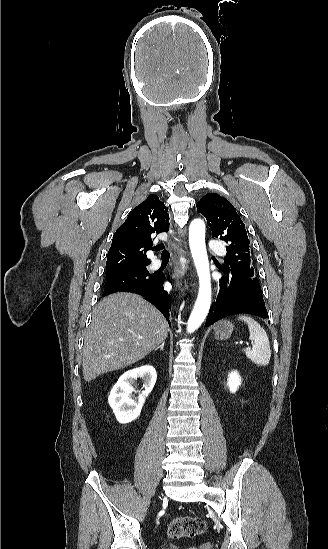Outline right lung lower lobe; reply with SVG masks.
Instances as JSON below:
<instances>
[{
    "label": "right lung lower lobe",
    "instance_id": "obj_1",
    "mask_svg": "<svg viewBox=\"0 0 328 549\" xmlns=\"http://www.w3.org/2000/svg\"><path fill=\"white\" fill-rule=\"evenodd\" d=\"M165 278L166 275L164 273H156V276L148 284L131 285L114 291L104 292V296L117 291H126L140 294L144 296L149 302L153 303L168 320L170 309V295L163 288V282ZM168 279H170V276Z\"/></svg>",
    "mask_w": 328,
    "mask_h": 549
}]
</instances>
